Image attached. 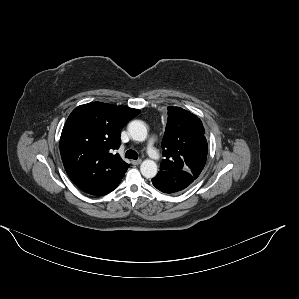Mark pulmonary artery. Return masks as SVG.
Here are the masks:
<instances>
[{
  "label": "pulmonary artery",
  "instance_id": "e3ab8cb5",
  "mask_svg": "<svg viewBox=\"0 0 299 299\" xmlns=\"http://www.w3.org/2000/svg\"><path fill=\"white\" fill-rule=\"evenodd\" d=\"M147 150L149 152L150 157L155 160L158 161L160 159V155L156 152L155 147H154V141L150 140L147 144Z\"/></svg>",
  "mask_w": 299,
  "mask_h": 299
}]
</instances>
